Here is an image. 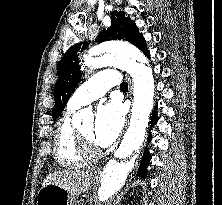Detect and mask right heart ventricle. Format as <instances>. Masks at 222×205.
Listing matches in <instances>:
<instances>
[{"instance_id":"right-heart-ventricle-1","label":"right heart ventricle","mask_w":222,"mask_h":205,"mask_svg":"<svg viewBox=\"0 0 222 205\" xmlns=\"http://www.w3.org/2000/svg\"><path fill=\"white\" fill-rule=\"evenodd\" d=\"M75 109L67 107L66 113L61 117L54 142V156L63 167L80 168L86 159L81 155L75 136V128L71 122V116Z\"/></svg>"}]
</instances>
